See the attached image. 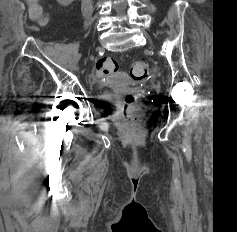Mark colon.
<instances>
[{"label":"colon","mask_w":237,"mask_h":232,"mask_svg":"<svg viewBox=\"0 0 237 232\" xmlns=\"http://www.w3.org/2000/svg\"><path fill=\"white\" fill-rule=\"evenodd\" d=\"M29 5V14L32 20L45 24L47 18L39 4L40 0H25ZM118 63L115 59L104 57L97 61L96 71L100 76L115 74L118 71ZM150 65L144 60L134 62L130 68L131 78L134 80H143L148 76ZM126 108L124 112V121L130 127L140 125L144 107L141 103V97L135 94H129L125 98Z\"/></svg>","instance_id":"5ec220e1"}]
</instances>
